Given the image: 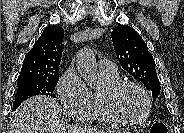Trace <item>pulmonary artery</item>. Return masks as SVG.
I'll list each match as a JSON object with an SVG mask.
<instances>
[{"instance_id": "obj_1", "label": "pulmonary artery", "mask_w": 184, "mask_h": 133, "mask_svg": "<svg viewBox=\"0 0 184 133\" xmlns=\"http://www.w3.org/2000/svg\"><path fill=\"white\" fill-rule=\"evenodd\" d=\"M99 68H100L101 72L109 74V75H117L118 74L116 65L108 59L100 60Z\"/></svg>"}]
</instances>
